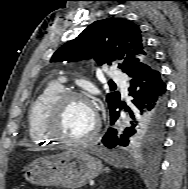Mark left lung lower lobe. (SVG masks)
I'll return each instance as SVG.
<instances>
[{
  "label": "left lung lower lobe",
  "instance_id": "left-lung-lower-lobe-1",
  "mask_svg": "<svg viewBox=\"0 0 188 189\" xmlns=\"http://www.w3.org/2000/svg\"><path fill=\"white\" fill-rule=\"evenodd\" d=\"M128 76L131 78L128 90L129 95L133 97L132 104L128 107L119 102L110 110V122L111 125L116 123L122 108L128 112L131 119L117 128L108 129L101 142L109 149L128 147L130 137L139 126L154 128L165 124L166 84L162 80L155 60L132 69Z\"/></svg>",
  "mask_w": 188,
  "mask_h": 189
}]
</instances>
